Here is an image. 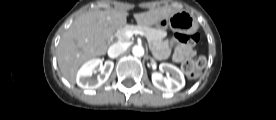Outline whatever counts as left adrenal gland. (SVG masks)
<instances>
[{
  "label": "left adrenal gland",
  "mask_w": 276,
  "mask_h": 120,
  "mask_svg": "<svg viewBox=\"0 0 276 120\" xmlns=\"http://www.w3.org/2000/svg\"><path fill=\"white\" fill-rule=\"evenodd\" d=\"M149 58H150V60H152V61H153V58H152L151 56H149Z\"/></svg>",
  "instance_id": "a2214340"
}]
</instances>
